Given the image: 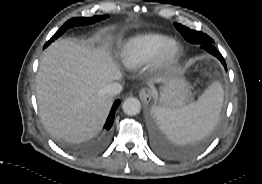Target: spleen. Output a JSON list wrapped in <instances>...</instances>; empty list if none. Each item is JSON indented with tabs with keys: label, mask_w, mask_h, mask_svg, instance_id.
<instances>
[{
	"label": "spleen",
	"mask_w": 262,
	"mask_h": 184,
	"mask_svg": "<svg viewBox=\"0 0 262 184\" xmlns=\"http://www.w3.org/2000/svg\"><path fill=\"white\" fill-rule=\"evenodd\" d=\"M224 91L214 82L196 102L181 108L158 106L155 116L166 135L174 142L184 144L199 140L216 126L223 105Z\"/></svg>",
	"instance_id": "spleen-1"
}]
</instances>
